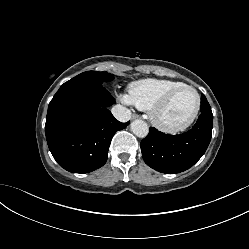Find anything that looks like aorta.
<instances>
[{
    "mask_svg": "<svg viewBox=\"0 0 249 249\" xmlns=\"http://www.w3.org/2000/svg\"><path fill=\"white\" fill-rule=\"evenodd\" d=\"M132 132L140 138H144L149 133V127L147 123L143 120H135L131 123Z\"/></svg>",
    "mask_w": 249,
    "mask_h": 249,
    "instance_id": "1",
    "label": "aorta"
}]
</instances>
